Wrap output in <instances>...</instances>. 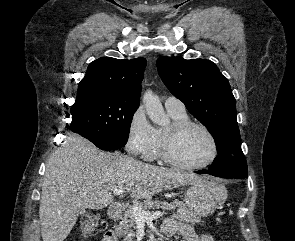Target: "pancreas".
Segmentation results:
<instances>
[{"label":"pancreas","mask_w":295,"mask_h":241,"mask_svg":"<svg viewBox=\"0 0 295 241\" xmlns=\"http://www.w3.org/2000/svg\"><path fill=\"white\" fill-rule=\"evenodd\" d=\"M134 207H141L143 210L147 211L150 209H163L174 211L177 210L174 214V217L180 221L188 222L191 224L200 223V217L190 211L186 205L178 200L173 202H161L159 200L152 201L150 199L145 200L142 203L135 204L133 206H129L123 212V217L119 224L115 225V233L117 236H124V241H133V238L136 236L135 232L132 228L136 227L137 220L133 214Z\"/></svg>","instance_id":"obj_1"}]
</instances>
